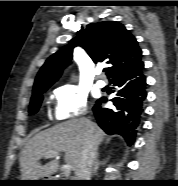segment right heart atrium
Wrapping results in <instances>:
<instances>
[{"label": "right heart atrium", "instance_id": "right-heart-atrium-1", "mask_svg": "<svg viewBox=\"0 0 178 186\" xmlns=\"http://www.w3.org/2000/svg\"><path fill=\"white\" fill-rule=\"evenodd\" d=\"M55 117L68 120L83 116L87 112V94L75 86H64L54 91Z\"/></svg>", "mask_w": 178, "mask_h": 186}]
</instances>
